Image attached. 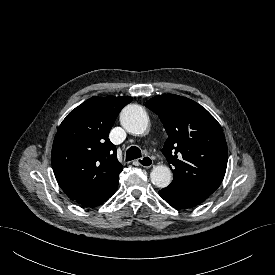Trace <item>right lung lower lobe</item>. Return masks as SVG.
Wrapping results in <instances>:
<instances>
[{"label":"right lung lower lobe","instance_id":"98d812e1","mask_svg":"<svg viewBox=\"0 0 275 275\" xmlns=\"http://www.w3.org/2000/svg\"><path fill=\"white\" fill-rule=\"evenodd\" d=\"M117 185L107 192L88 196V197H83L75 201L87 207H96L102 204L103 202H105L110 196H112L115 193L117 189Z\"/></svg>","mask_w":275,"mask_h":275}]
</instances>
